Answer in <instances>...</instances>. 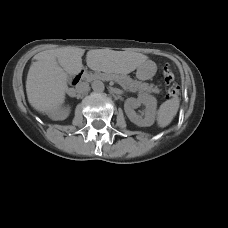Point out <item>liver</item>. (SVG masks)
Returning <instances> with one entry per match:
<instances>
[{
  "label": "liver",
  "instance_id": "obj_1",
  "mask_svg": "<svg viewBox=\"0 0 228 228\" xmlns=\"http://www.w3.org/2000/svg\"><path fill=\"white\" fill-rule=\"evenodd\" d=\"M85 50L75 47L42 51L34 56L26 80L30 105L37 111L52 114L65 102L68 74L78 75L83 69ZM87 66L103 72L107 78L127 75L146 63L155 64L146 55L126 51L94 49L87 52Z\"/></svg>",
  "mask_w": 228,
  "mask_h": 228
}]
</instances>
